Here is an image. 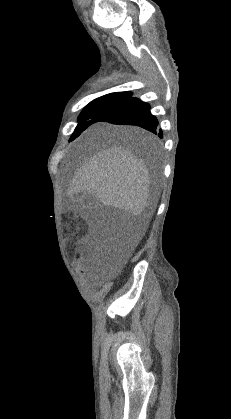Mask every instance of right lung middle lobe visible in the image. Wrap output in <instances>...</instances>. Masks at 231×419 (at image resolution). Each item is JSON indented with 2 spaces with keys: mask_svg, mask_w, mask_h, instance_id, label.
Listing matches in <instances>:
<instances>
[{
  "mask_svg": "<svg viewBox=\"0 0 231 419\" xmlns=\"http://www.w3.org/2000/svg\"><path fill=\"white\" fill-rule=\"evenodd\" d=\"M132 94V92L110 93L90 102L81 112L78 118V125L75 128V131L72 134L70 140H73L76 137H78L91 124L95 123L98 117H100L110 109L114 108L115 106H118L119 104L131 98ZM139 143L143 145V143Z\"/></svg>",
  "mask_w": 231,
  "mask_h": 419,
  "instance_id": "1",
  "label": "right lung middle lobe"
}]
</instances>
